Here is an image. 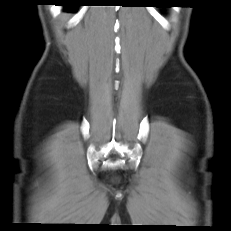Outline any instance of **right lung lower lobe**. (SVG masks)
<instances>
[{"label": "right lung lower lobe", "mask_w": 231, "mask_h": 231, "mask_svg": "<svg viewBox=\"0 0 231 231\" xmlns=\"http://www.w3.org/2000/svg\"><path fill=\"white\" fill-rule=\"evenodd\" d=\"M59 1L61 2L60 5L64 6L65 9L67 10H72L76 6L81 5V3H79V0H59Z\"/></svg>", "instance_id": "98d812e1"}]
</instances>
